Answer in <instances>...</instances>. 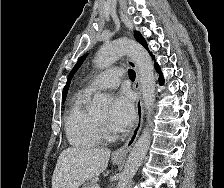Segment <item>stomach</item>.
I'll use <instances>...</instances> for the list:
<instances>
[{"label": "stomach", "instance_id": "stomach-1", "mask_svg": "<svg viewBox=\"0 0 224 188\" xmlns=\"http://www.w3.org/2000/svg\"><path fill=\"white\" fill-rule=\"evenodd\" d=\"M112 160H113V163H115V164H119L122 162V159L113 158Z\"/></svg>", "mask_w": 224, "mask_h": 188}]
</instances>
